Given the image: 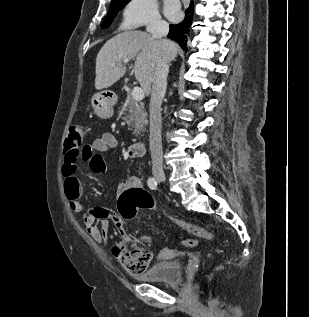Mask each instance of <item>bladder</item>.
<instances>
[{"label": "bladder", "mask_w": 309, "mask_h": 317, "mask_svg": "<svg viewBox=\"0 0 309 317\" xmlns=\"http://www.w3.org/2000/svg\"><path fill=\"white\" fill-rule=\"evenodd\" d=\"M137 279L148 283L176 286L183 279V264L178 259L160 260L151 265Z\"/></svg>", "instance_id": "31cf9c89"}]
</instances>
